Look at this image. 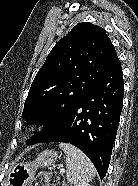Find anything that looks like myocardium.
Wrapping results in <instances>:
<instances>
[{
    "instance_id": "obj_1",
    "label": "myocardium",
    "mask_w": 138,
    "mask_h": 186,
    "mask_svg": "<svg viewBox=\"0 0 138 186\" xmlns=\"http://www.w3.org/2000/svg\"><path fill=\"white\" fill-rule=\"evenodd\" d=\"M44 127L42 120L33 121L27 128V131L30 133H37Z\"/></svg>"
}]
</instances>
